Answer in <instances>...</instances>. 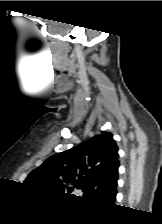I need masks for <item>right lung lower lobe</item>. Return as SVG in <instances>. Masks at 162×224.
<instances>
[{
    "label": "right lung lower lobe",
    "mask_w": 162,
    "mask_h": 224,
    "mask_svg": "<svg viewBox=\"0 0 162 224\" xmlns=\"http://www.w3.org/2000/svg\"><path fill=\"white\" fill-rule=\"evenodd\" d=\"M115 197H116V195L114 197H112V202L115 200Z\"/></svg>",
    "instance_id": "obj_1"
}]
</instances>
